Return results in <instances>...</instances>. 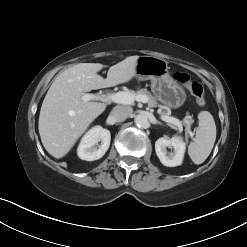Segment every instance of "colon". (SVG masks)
<instances>
[{
    "instance_id": "1",
    "label": "colon",
    "mask_w": 247,
    "mask_h": 247,
    "mask_svg": "<svg viewBox=\"0 0 247 247\" xmlns=\"http://www.w3.org/2000/svg\"><path fill=\"white\" fill-rule=\"evenodd\" d=\"M174 77L195 97V100L199 106L205 105L206 100L204 88L199 82L192 80L189 75L182 72L176 73Z\"/></svg>"
}]
</instances>
